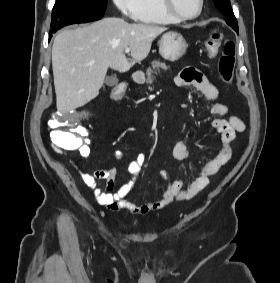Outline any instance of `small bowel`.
<instances>
[{
	"label": "small bowel",
	"instance_id": "small-bowel-1",
	"mask_svg": "<svg viewBox=\"0 0 280 283\" xmlns=\"http://www.w3.org/2000/svg\"><path fill=\"white\" fill-rule=\"evenodd\" d=\"M178 85H189L195 87L203 94L206 102L210 105L211 114L215 116H224L228 112V107L225 104L216 102L218 97L217 88L210 82L205 74L194 68H189L182 71L176 78ZM211 126L220 135L222 140V149L214 157L197 169V177L192 183L185 187L182 180H172L164 171L160 172L161 177L166 182V189L162 196L155 201H147L142 204L135 203L127 198V195L139 175L142 167L147 161V157L143 153H139L130 161L127 170L132 179L121 186L117 191H114L116 182L115 177L117 169L110 167L107 169L89 171L75 163L84 184L94 190L97 201L112 211L127 210L135 215H146L150 212L160 210L174 200H186L201 190L209 183V177L216 174L219 169L224 166L232 155V142L236 134L245 130V123L236 116H230L228 119L216 118L212 121ZM84 137L80 138V146L76 149L78 154L87 158L91 154L90 144L92 142L89 132H82ZM175 159L182 161L195 155L194 152L188 149L183 141H177L173 148ZM114 157L120 159L123 157V151L117 150L114 152ZM105 181V189L102 190L98 181Z\"/></svg>",
	"mask_w": 280,
	"mask_h": 283
}]
</instances>
